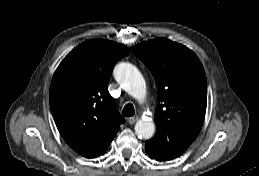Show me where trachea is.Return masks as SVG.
Masks as SVG:
<instances>
[{
  "label": "trachea",
  "mask_w": 259,
  "mask_h": 176,
  "mask_svg": "<svg viewBox=\"0 0 259 176\" xmlns=\"http://www.w3.org/2000/svg\"><path fill=\"white\" fill-rule=\"evenodd\" d=\"M134 113H135V111H134V107H133L132 104L128 103V104H126V105L124 106L123 111H122V114H123L124 116H126V117H131V116L134 115Z\"/></svg>",
  "instance_id": "trachea-1"
}]
</instances>
